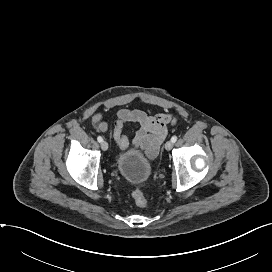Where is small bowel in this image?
Masks as SVG:
<instances>
[{
  "label": "small bowel",
  "instance_id": "small-bowel-1",
  "mask_svg": "<svg viewBox=\"0 0 272 272\" xmlns=\"http://www.w3.org/2000/svg\"><path fill=\"white\" fill-rule=\"evenodd\" d=\"M176 122V117L171 113L149 115L140 109H121L113 128V138L121 150H126L129 147V140L123 131L124 126L137 124L139 128L133 139V145L144 151L148 157L154 158L167 136V125H175Z\"/></svg>",
  "mask_w": 272,
  "mask_h": 272
}]
</instances>
